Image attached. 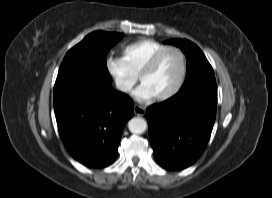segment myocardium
<instances>
[{"label": "myocardium", "instance_id": "f54148a6", "mask_svg": "<svg viewBox=\"0 0 272 198\" xmlns=\"http://www.w3.org/2000/svg\"><path fill=\"white\" fill-rule=\"evenodd\" d=\"M177 52L180 57H181V61H182V69H181V74L180 77L176 83V85L174 86V88L172 90H170L168 93L164 94V95H160L157 97H154L155 101L158 102H163V101H167L171 98H173L174 96H176L180 90L182 89L185 80H186V76H187V57L185 52L178 48V47H174V46H168L160 51H158L150 60L149 62L144 66V68L141 70L140 74H139V81H142V78L146 75H148L149 73H151L152 71L155 70V68L158 66V64L160 63L161 59L168 53V52Z\"/></svg>", "mask_w": 272, "mask_h": 198}]
</instances>
